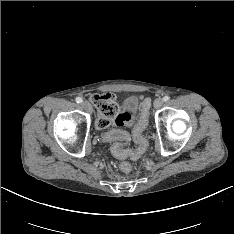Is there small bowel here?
<instances>
[{
    "instance_id": "1",
    "label": "small bowel",
    "mask_w": 234,
    "mask_h": 234,
    "mask_svg": "<svg viewBox=\"0 0 234 234\" xmlns=\"http://www.w3.org/2000/svg\"><path fill=\"white\" fill-rule=\"evenodd\" d=\"M139 102H140V99L137 96H133L130 99H128L124 107L125 114L127 115L126 116L127 122L124 125H122V127L125 125L128 127L133 126L136 113L142 111V105L139 104Z\"/></svg>"
}]
</instances>
